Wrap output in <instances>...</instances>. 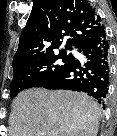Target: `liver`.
<instances>
[{"label": "liver", "instance_id": "obj_1", "mask_svg": "<svg viewBox=\"0 0 117 136\" xmlns=\"http://www.w3.org/2000/svg\"><path fill=\"white\" fill-rule=\"evenodd\" d=\"M101 108L86 94L32 88L13 100L10 136H97Z\"/></svg>", "mask_w": 117, "mask_h": 136}]
</instances>
